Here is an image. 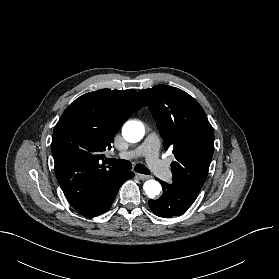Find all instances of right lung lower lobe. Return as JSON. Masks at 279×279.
<instances>
[{"label":"right lung lower lobe","mask_w":279,"mask_h":279,"mask_svg":"<svg viewBox=\"0 0 279 279\" xmlns=\"http://www.w3.org/2000/svg\"><path fill=\"white\" fill-rule=\"evenodd\" d=\"M132 177H134L133 172L121 171V173L114 176L104 184L97 199L89 208L78 212L83 216L91 218L107 212L111 207L122 183Z\"/></svg>","instance_id":"right-lung-lower-lobe-1"}]
</instances>
